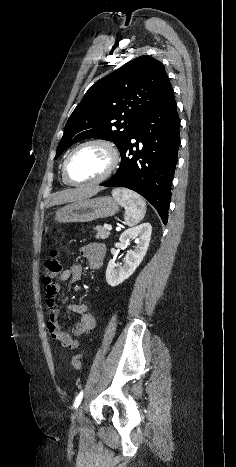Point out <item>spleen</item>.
I'll list each match as a JSON object with an SVG mask.
<instances>
[{
  "label": "spleen",
  "mask_w": 236,
  "mask_h": 467,
  "mask_svg": "<svg viewBox=\"0 0 236 467\" xmlns=\"http://www.w3.org/2000/svg\"><path fill=\"white\" fill-rule=\"evenodd\" d=\"M112 196L124 207L127 226H134L144 218L146 203L139 194L125 188H116L112 190Z\"/></svg>",
  "instance_id": "1"
}]
</instances>
